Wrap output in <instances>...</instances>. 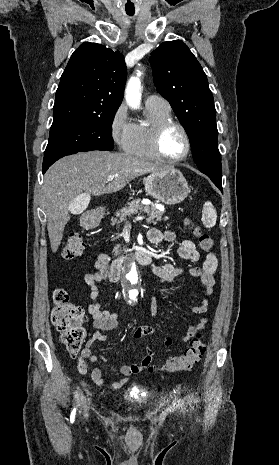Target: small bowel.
<instances>
[{"label":"small bowel","mask_w":279,"mask_h":465,"mask_svg":"<svg viewBox=\"0 0 279 465\" xmlns=\"http://www.w3.org/2000/svg\"><path fill=\"white\" fill-rule=\"evenodd\" d=\"M148 239L154 244H161L164 242H172L175 239V234L170 231H161L158 229H151L148 232ZM178 255L185 260L198 261L201 255L198 252L196 245L191 240H183L179 243L177 249ZM94 267L96 272L87 274L85 282L90 289L91 302L88 304V312L93 318L94 333L86 341L81 354L76 356L77 368L81 374H87L90 370L89 365L84 361L87 358L91 366L90 374L94 383L98 386H105L102 370L94 366L102 357L92 354V345L96 341L107 342L108 338L102 331L113 330L118 326V315L111 313L107 310H102L98 298L100 295L99 283L107 279L110 280L111 268L110 256L105 252H100L96 255ZM152 272L158 279L160 284L171 282L176 275L181 272L171 263L152 264ZM217 269V258L214 253H207L204 257L202 266H195L191 268L190 273L194 276L201 277L202 283L205 287V297L201 300L200 304L192 306L191 310L197 314H205L208 310V299L213 293L214 287V274ZM111 281V280H110ZM151 313L153 316L157 314L156 303L152 302ZM207 318L202 317L200 320L188 327L186 334L181 338V343L189 342L196 333L203 329L207 324ZM157 333V329L151 326H143L136 329L133 333L135 339H140L145 336ZM173 343L172 338L165 336L162 339V344L165 347L171 346ZM155 351L151 347H147L145 355L138 362H128L120 366L119 371L123 378L119 381L110 383L107 387L112 390L119 389L125 386L132 375L138 374L145 369L149 368Z\"/></svg>","instance_id":"small-bowel-1"}]
</instances>
